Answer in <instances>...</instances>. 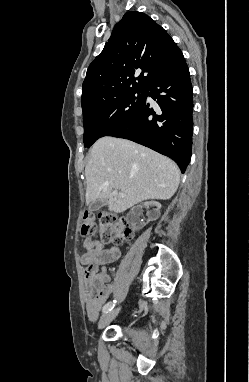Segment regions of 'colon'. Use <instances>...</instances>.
<instances>
[{
  "label": "colon",
  "instance_id": "1",
  "mask_svg": "<svg viewBox=\"0 0 249 382\" xmlns=\"http://www.w3.org/2000/svg\"><path fill=\"white\" fill-rule=\"evenodd\" d=\"M101 226V240L86 239L84 247L87 252L94 253L101 246L109 243H120L133 237L134 227L127 220L118 219L113 214L100 213L97 216L86 212L82 219L81 232L84 236L92 235Z\"/></svg>",
  "mask_w": 249,
  "mask_h": 382
}]
</instances>
